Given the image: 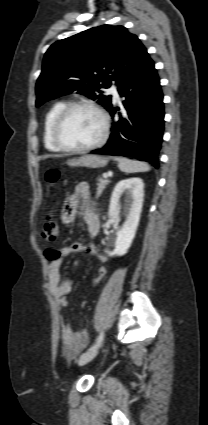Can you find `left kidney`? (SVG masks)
I'll list each match as a JSON object with an SVG mask.
<instances>
[{"label":"left kidney","instance_id":"5707ae66","mask_svg":"<svg viewBox=\"0 0 208 425\" xmlns=\"http://www.w3.org/2000/svg\"><path fill=\"white\" fill-rule=\"evenodd\" d=\"M126 193V220L116 231L115 248L113 251L105 250L109 256H122L127 253L135 237L144 198V183L140 178H129L118 182L112 192L109 217L120 221V200Z\"/></svg>","mask_w":208,"mask_h":425}]
</instances>
